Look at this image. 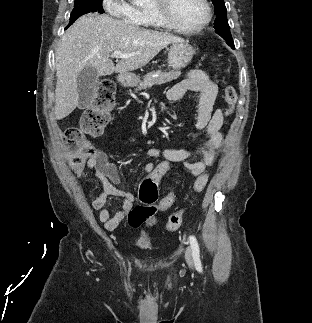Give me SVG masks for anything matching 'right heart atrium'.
<instances>
[{"mask_svg":"<svg viewBox=\"0 0 312 323\" xmlns=\"http://www.w3.org/2000/svg\"><path fill=\"white\" fill-rule=\"evenodd\" d=\"M108 13H114L115 17H122L123 22H138L141 10L136 6H130L129 0H103Z\"/></svg>","mask_w":312,"mask_h":323,"instance_id":"right-heart-atrium-1","label":"right heart atrium"}]
</instances>
